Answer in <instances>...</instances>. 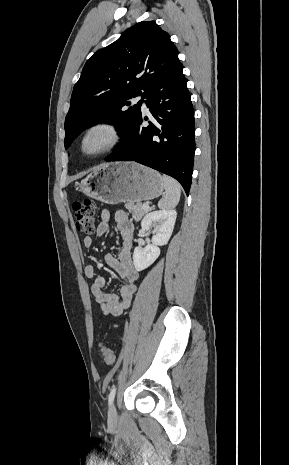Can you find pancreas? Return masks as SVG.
<instances>
[{"label":"pancreas","instance_id":"pancreas-1","mask_svg":"<svg viewBox=\"0 0 289 465\" xmlns=\"http://www.w3.org/2000/svg\"><path fill=\"white\" fill-rule=\"evenodd\" d=\"M125 208L128 209L130 213H132L133 218L136 221H140L141 218L144 216L145 213L148 212L149 209H144L143 204L138 202L136 204L132 202H128L125 204Z\"/></svg>","mask_w":289,"mask_h":465}]
</instances>
